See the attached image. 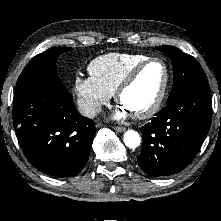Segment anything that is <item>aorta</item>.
<instances>
[{
  "instance_id": "aorta-1",
  "label": "aorta",
  "mask_w": 221,
  "mask_h": 221,
  "mask_svg": "<svg viewBox=\"0 0 221 221\" xmlns=\"http://www.w3.org/2000/svg\"><path fill=\"white\" fill-rule=\"evenodd\" d=\"M124 144L129 148H136L140 145L141 138L135 130H127L123 135Z\"/></svg>"
}]
</instances>
